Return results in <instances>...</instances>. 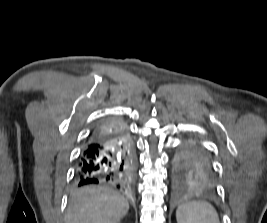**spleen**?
I'll return each mask as SVG.
<instances>
[{
  "label": "spleen",
  "mask_w": 267,
  "mask_h": 223,
  "mask_svg": "<svg viewBox=\"0 0 267 223\" xmlns=\"http://www.w3.org/2000/svg\"><path fill=\"white\" fill-rule=\"evenodd\" d=\"M177 223H220L214 207L202 201L181 204L176 210Z\"/></svg>",
  "instance_id": "1"
}]
</instances>
